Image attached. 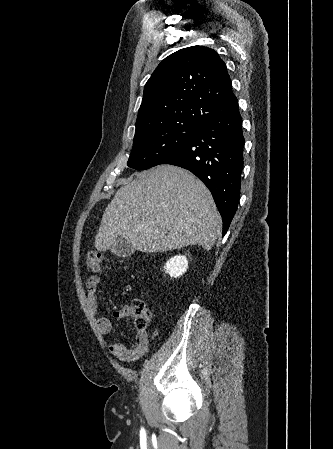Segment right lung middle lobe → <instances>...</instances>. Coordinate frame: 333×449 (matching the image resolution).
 <instances>
[{
    "mask_svg": "<svg viewBox=\"0 0 333 449\" xmlns=\"http://www.w3.org/2000/svg\"><path fill=\"white\" fill-rule=\"evenodd\" d=\"M200 127L190 122L169 123L136 135L128 165L138 170L158 165L161 159L172 153Z\"/></svg>",
    "mask_w": 333,
    "mask_h": 449,
    "instance_id": "obj_1",
    "label": "right lung middle lobe"
}]
</instances>
